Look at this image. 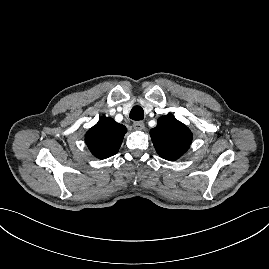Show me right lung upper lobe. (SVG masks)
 <instances>
[{
	"label": "right lung upper lobe",
	"instance_id": "cb5924a9",
	"mask_svg": "<svg viewBox=\"0 0 269 269\" xmlns=\"http://www.w3.org/2000/svg\"><path fill=\"white\" fill-rule=\"evenodd\" d=\"M126 132V127L114 119L101 117L86 133L85 141L95 157L106 159L118 152Z\"/></svg>",
	"mask_w": 269,
	"mask_h": 269
}]
</instances>
